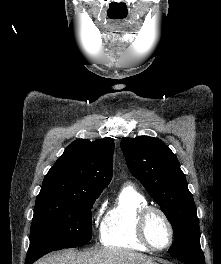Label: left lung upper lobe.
<instances>
[{
	"label": "left lung upper lobe",
	"mask_w": 221,
	"mask_h": 264,
	"mask_svg": "<svg viewBox=\"0 0 221 264\" xmlns=\"http://www.w3.org/2000/svg\"><path fill=\"white\" fill-rule=\"evenodd\" d=\"M121 149L130 172L172 224L175 239L169 253L201 252L196 206L175 154L160 139L149 136L124 138Z\"/></svg>",
	"instance_id": "obj_1"
}]
</instances>
